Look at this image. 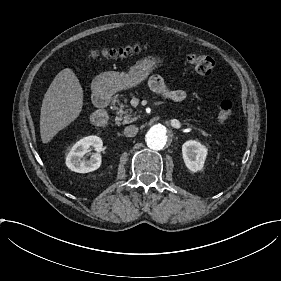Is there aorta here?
<instances>
[{
    "instance_id": "1",
    "label": "aorta",
    "mask_w": 281,
    "mask_h": 281,
    "mask_svg": "<svg viewBox=\"0 0 281 281\" xmlns=\"http://www.w3.org/2000/svg\"><path fill=\"white\" fill-rule=\"evenodd\" d=\"M169 141V134L165 126L153 125L146 133V143L153 150H161Z\"/></svg>"
}]
</instances>
